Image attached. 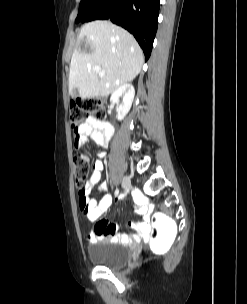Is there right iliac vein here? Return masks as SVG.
<instances>
[{"instance_id":"1","label":"right iliac vein","mask_w":247,"mask_h":304,"mask_svg":"<svg viewBox=\"0 0 247 304\" xmlns=\"http://www.w3.org/2000/svg\"><path fill=\"white\" fill-rule=\"evenodd\" d=\"M122 187H123V189H124L126 192L130 191V189H131V181H130L129 178H127V177H124V178H123Z\"/></svg>"}]
</instances>
